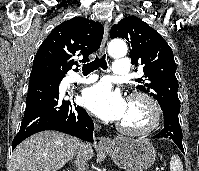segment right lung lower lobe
<instances>
[{"label":"right lung lower lobe","mask_w":199,"mask_h":171,"mask_svg":"<svg viewBox=\"0 0 199 171\" xmlns=\"http://www.w3.org/2000/svg\"><path fill=\"white\" fill-rule=\"evenodd\" d=\"M62 79L49 76L30 77L26 109L12 149L27 137L44 130H56L93 142V121L88 113L71 100H61Z\"/></svg>","instance_id":"1"}]
</instances>
